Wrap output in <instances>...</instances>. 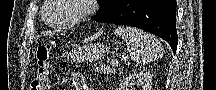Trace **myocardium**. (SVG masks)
I'll return each instance as SVG.
<instances>
[{
	"label": "myocardium",
	"instance_id": "f54148a6",
	"mask_svg": "<svg viewBox=\"0 0 216 90\" xmlns=\"http://www.w3.org/2000/svg\"><path fill=\"white\" fill-rule=\"evenodd\" d=\"M49 2H52L53 8L50 9L51 11L45 12V18H43V22L49 29L62 31L85 21V19H87L93 12L94 6L92 3H98V0H49ZM61 4H72L78 7L79 10L74 18L69 22L53 23L49 19V15H56L57 12H60V9H62Z\"/></svg>",
	"mask_w": 216,
	"mask_h": 90
}]
</instances>
